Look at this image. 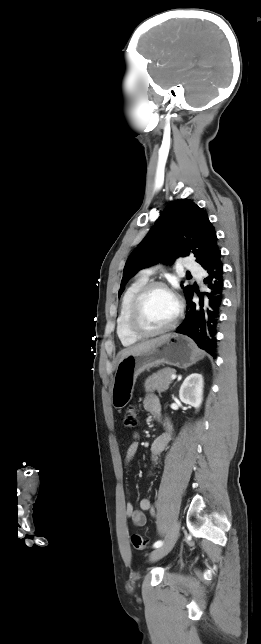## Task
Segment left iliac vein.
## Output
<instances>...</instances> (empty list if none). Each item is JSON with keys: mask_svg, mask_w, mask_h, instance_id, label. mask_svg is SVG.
I'll list each match as a JSON object with an SVG mask.
<instances>
[{"mask_svg": "<svg viewBox=\"0 0 261 644\" xmlns=\"http://www.w3.org/2000/svg\"><path fill=\"white\" fill-rule=\"evenodd\" d=\"M179 529H180V523L178 521H174L170 526L165 543L151 552L150 561L152 562L157 561L162 557H164L165 555H167L172 550L173 546L177 541Z\"/></svg>", "mask_w": 261, "mask_h": 644, "instance_id": "4c4485c4", "label": "left iliac vein"}]
</instances>
